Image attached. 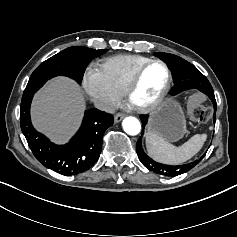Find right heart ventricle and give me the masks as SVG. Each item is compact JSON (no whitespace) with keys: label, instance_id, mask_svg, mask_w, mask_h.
<instances>
[{"label":"right heart ventricle","instance_id":"1","mask_svg":"<svg viewBox=\"0 0 237 237\" xmlns=\"http://www.w3.org/2000/svg\"><path fill=\"white\" fill-rule=\"evenodd\" d=\"M149 60L140 55H116L106 58L100 66L113 86L124 94L136 72Z\"/></svg>","mask_w":237,"mask_h":237}]
</instances>
